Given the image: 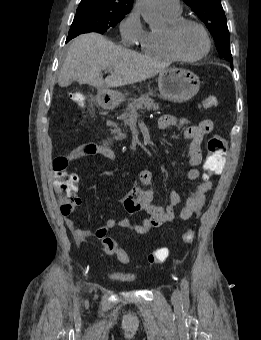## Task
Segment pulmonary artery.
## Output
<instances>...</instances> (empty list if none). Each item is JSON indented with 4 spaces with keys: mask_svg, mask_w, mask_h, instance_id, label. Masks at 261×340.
Segmentation results:
<instances>
[{
    "mask_svg": "<svg viewBox=\"0 0 261 340\" xmlns=\"http://www.w3.org/2000/svg\"><path fill=\"white\" fill-rule=\"evenodd\" d=\"M159 4L165 12L173 14L181 13L182 7L179 0H159Z\"/></svg>",
    "mask_w": 261,
    "mask_h": 340,
    "instance_id": "pulmonary-artery-1",
    "label": "pulmonary artery"
}]
</instances>
